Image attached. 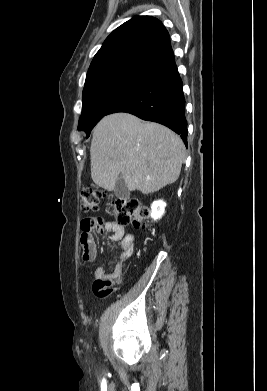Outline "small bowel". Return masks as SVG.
<instances>
[{"mask_svg":"<svg viewBox=\"0 0 267 391\" xmlns=\"http://www.w3.org/2000/svg\"><path fill=\"white\" fill-rule=\"evenodd\" d=\"M108 232L109 240L120 243V255L114 269L110 272L103 267L95 270L93 292L98 296H106L115 288L114 285L122 280L125 264L134 252L135 235L127 233L123 226L100 216L87 217L81 221V245L83 259L93 261L96 257L95 233Z\"/></svg>","mask_w":267,"mask_h":391,"instance_id":"1","label":"small bowel"}]
</instances>
